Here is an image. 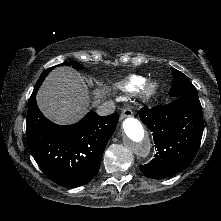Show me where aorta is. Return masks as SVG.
Listing matches in <instances>:
<instances>
[{"instance_id": "aorta-1", "label": "aorta", "mask_w": 221, "mask_h": 221, "mask_svg": "<svg viewBox=\"0 0 221 221\" xmlns=\"http://www.w3.org/2000/svg\"><path fill=\"white\" fill-rule=\"evenodd\" d=\"M122 132L126 145L140 157H147L151 151V142L140 121L128 117L123 121Z\"/></svg>"}]
</instances>
